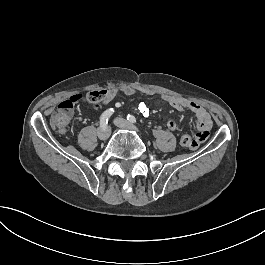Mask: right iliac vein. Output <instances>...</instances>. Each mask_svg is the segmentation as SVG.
I'll return each instance as SVG.
<instances>
[{"mask_svg":"<svg viewBox=\"0 0 265 265\" xmlns=\"http://www.w3.org/2000/svg\"><path fill=\"white\" fill-rule=\"evenodd\" d=\"M98 138L101 140L108 139L110 132L108 126L106 128H99L97 131Z\"/></svg>","mask_w":265,"mask_h":265,"instance_id":"right-iliac-vein-1","label":"right iliac vein"}]
</instances>
